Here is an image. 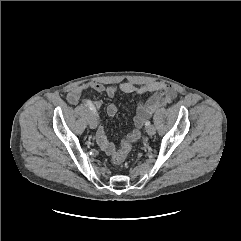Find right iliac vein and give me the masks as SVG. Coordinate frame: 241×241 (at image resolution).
I'll return each instance as SVG.
<instances>
[{
    "mask_svg": "<svg viewBox=\"0 0 241 241\" xmlns=\"http://www.w3.org/2000/svg\"><path fill=\"white\" fill-rule=\"evenodd\" d=\"M89 126L91 129H95L97 127V118L93 113L89 116Z\"/></svg>",
    "mask_w": 241,
    "mask_h": 241,
    "instance_id": "obj_1",
    "label": "right iliac vein"
}]
</instances>
